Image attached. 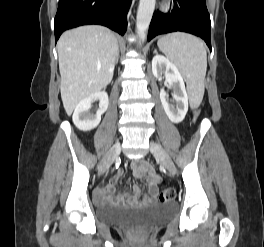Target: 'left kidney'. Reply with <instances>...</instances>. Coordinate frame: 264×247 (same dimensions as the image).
Returning a JSON list of instances; mask_svg holds the SVG:
<instances>
[{"instance_id": "obj_1", "label": "left kidney", "mask_w": 264, "mask_h": 247, "mask_svg": "<svg viewBox=\"0 0 264 247\" xmlns=\"http://www.w3.org/2000/svg\"><path fill=\"white\" fill-rule=\"evenodd\" d=\"M152 72L156 78L164 73L166 82L173 89L176 106L169 100L164 89L160 90V100L169 120L173 123H180L188 111V95L179 70L166 57L155 55L152 59Z\"/></svg>"}]
</instances>
